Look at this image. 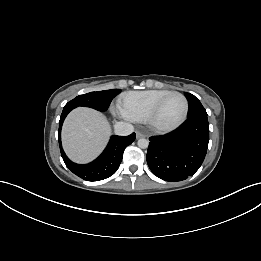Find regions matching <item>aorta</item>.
Wrapping results in <instances>:
<instances>
[{
	"label": "aorta",
	"instance_id": "762f6f07",
	"mask_svg": "<svg viewBox=\"0 0 261 261\" xmlns=\"http://www.w3.org/2000/svg\"><path fill=\"white\" fill-rule=\"evenodd\" d=\"M138 146L142 149H145L148 147L149 141L147 139L141 138L138 140Z\"/></svg>",
	"mask_w": 261,
	"mask_h": 261
}]
</instances>
